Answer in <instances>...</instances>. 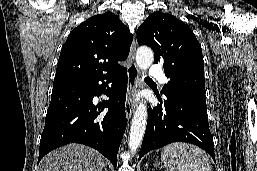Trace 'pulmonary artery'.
I'll list each match as a JSON object with an SVG mask.
<instances>
[{
    "label": "pulmonary artery",
    "instance_id": "obj_1",
    "mask_svg": "<svg viewBox=\"0 0 257 171\" xmlns=\"http://www.w3.org/2000/svg\"><path fill=\"white\" fill-rule=\"evenodd\" d=\"M149 75L152 78L159 79L162 84L167 83V78H166L165 74L163 73L162 69L156 64L151 65V67L149 69Z\"/></svg>",
    "mask_w": 257,
    "mask_h": 171
}]
</instances>
